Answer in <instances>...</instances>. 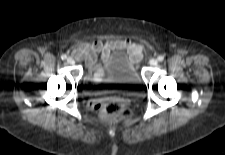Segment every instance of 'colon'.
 Here are the masks:
<instances>
[{
	"label": "colon",
	"instance_id": "5ec220e1",
	"mask_svg": "<svg viewBox=\"0 0 225 155\" xmlns=\"http://www.w3.org/2000/svg\"><path fill=\"white\" fill-rule=\"evenodd\" d=\"M94 106L99 110L101 118L107 122L131 119L134 115L133 110L126 107L123 101L118 98H111L102 102L95 101Z\"/></svg>",
	"mask_w": 225,
	"mask_h": 155
}]
</instances>
